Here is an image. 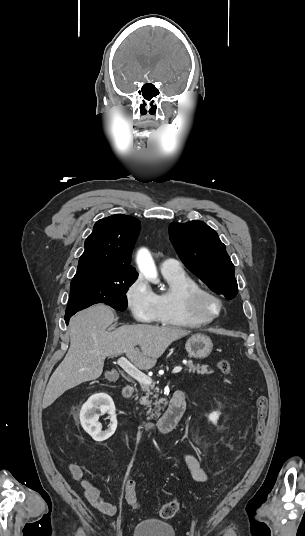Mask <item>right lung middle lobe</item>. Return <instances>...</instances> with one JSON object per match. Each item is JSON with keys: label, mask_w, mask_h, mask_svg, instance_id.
I'll use <instances>...</instances> for the list:
<instances>
[{"label": "right lung middle lobe", "mask_w": 305, "mask_h": 536, "mask_svg": "<svg viewBox=\"0 0 305 536\" xmlns=\"http://www.w3.org/2000/svg\"><path fill=\"white\" fill-rule=\"evenodd\" d=\"M137 277L138 275L74 277L70 285L66 312L80 311L101 302L124 311L127 308L126 292Z\"/></svg>", "instance_id": "dd1d6c3e"}]
</instances>
